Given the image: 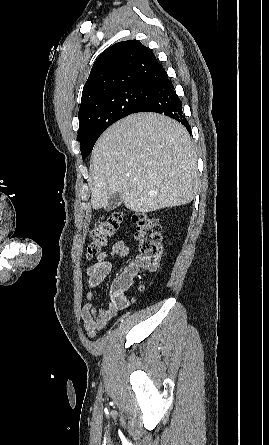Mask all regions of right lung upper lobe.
Instances as JSON below:
<instances>
[{
	"mask_svg": "<svg viewBox=\"0 0 269 445\" xmlns=\"http://www.w3.org/2000/svg\"><path fill=\"white\" fill-rule=\"evenodd\" d=\"M165 73L154 53L139 41L118 42L96 59L83 87L80 108L117 88L153 86Z\"/></svg>",
	"mask_w": 269,
	"mask_h": 445,
	"instance_id": "1",
	"label": "right lung upper lobe"
}]
</instances>
